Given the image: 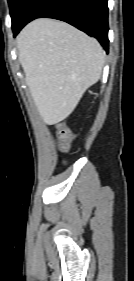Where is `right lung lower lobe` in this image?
<instances>
[{"mask_svg":"<svg viewBox=\"0 0 134 281\" xmlns=\"http://www.w3.org/2000/svg\"><path fill=\"white\" fill-rule=\"evenodd\" d=\"M108 0H30L14 37L30 21L55 18L65 21L99 40L108 53Z\"/></svg>","mask_w":134,"mask_h":281,"instance_id":"98d812e1","label":"right lung lower lobe"}]
</instances>
